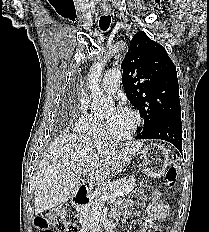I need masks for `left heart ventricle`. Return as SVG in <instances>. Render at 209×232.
I'll use <instances>...</instances> for the list:
<instances>
[{
    "instance_id": "obj_1",
    "label": "left heart ventricle",
    "mask_w": 209,
    "mask_h": 232,
    "mask_svg": "<svg viewBox=\"0 0 209 232\" xmlns=\"http://www.w3.org/2000/svg\"><path fill=\"white\" fill-rule=\"evenodd\" d=\"M104 117L108 121L110 131L116 135L128 133L134 124V118L129 112L114 107L108 109Z\"/></svg>"
}]
</instances>
